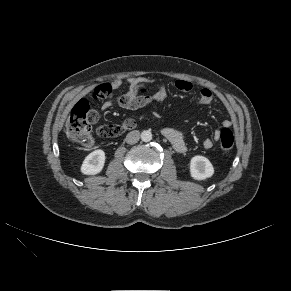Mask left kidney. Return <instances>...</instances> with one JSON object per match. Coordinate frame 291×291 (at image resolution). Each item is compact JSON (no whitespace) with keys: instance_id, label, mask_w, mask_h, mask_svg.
<instances>
[{"instance_id":"1","label":"left kidney","mask_w":291,"mask_h":291,"mask_svg":"<svg viewBox=\"0 0 291 291\" xmlns=\"http://www.w3.org/2000/svg\"><path fill=\"white\" fill-rule=\"evenodd\" d=\"M190 174L195 180H205L214 174V168L206 157L197 155L190 161Z\"/></svg>"}]
</instances>
